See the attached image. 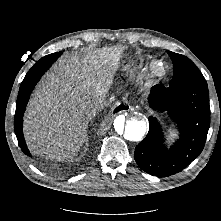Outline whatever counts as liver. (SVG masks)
Returning <instances> with one entry per match:
<instances>
[{
	"label": "liver",
	"instance_id": "1",
	"mask_svg": "<svg viewBox=\"0 0 221 221\" xmlns=\"http://www.w3.org/2000/svg\"><path fill=\"white\" fill-rule=\"evenodd\" d=\"M125 47H103L66 54L41 80L24 120L30 150L63 160L77 154L85 139L94 102L105 98L119 69Z\"/></svg>",
	"mask_w": 221,
	"mask_h": 221
}]
</instances>
